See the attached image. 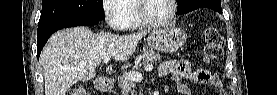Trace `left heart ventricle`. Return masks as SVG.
<instances>
[{
    "label": "left heart ventricle",
    "mask_w": 277,
    "mask_h": 95,
    "mask_svg": "<svg viewBox=\"0 0 277 95\" xmlns=\"http://www.w3.org/2000/svg\"><path fill=\"white\" fill-rule=\"evenodd\" d=\"M143 11L151 19L163 20L169 17L171 4L169 0H147Z\"/></svg>",
    "instance_id": "b2bd125f"
}]
</instances>
